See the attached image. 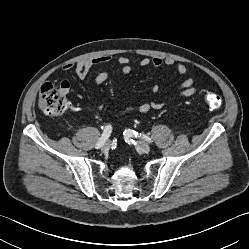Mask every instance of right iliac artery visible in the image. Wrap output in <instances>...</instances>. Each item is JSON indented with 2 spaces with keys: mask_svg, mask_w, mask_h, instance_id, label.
Wrapping results in <instances>:
<instances>
[{
  "mask_svg": "<svg viewBox=\"0 0 249 249\" xmlns=\"http://www.w3.org/2000/svg\"><path fill=\"white\" fill-rule=\"evenodd\" d=\"M112 132V127L111 125H107L101 135V137L99 138L98 142L95 145L96 149H99L102 147V145L108 140L110 134Z\"/></svg>",
  "mask_w": 249,
  "mask_h": 249,
  "instance_id": "obj_1",
  "label": "right iliac artery"
}]
</instances>
